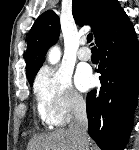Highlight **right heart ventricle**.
Segmentation results:
<instances>
[{
  "label": "right heart ventricle",
  "instance_id": "e07e8e85",
  "mask_svg": "<svg viewBox=\"0 0 139 150\" xmlns=\"http://www.w3.org/2000/svg\"><path fill=\"white\" fill-rule=\"evenodd\" d=\"M39 115H40L41 119H42L43 121H45V119H44V117H43V114L41 113L40 109H39Z\"/></svg>",
  "mask_w": 139,
  "mask_h": 150
}]
</instances>
